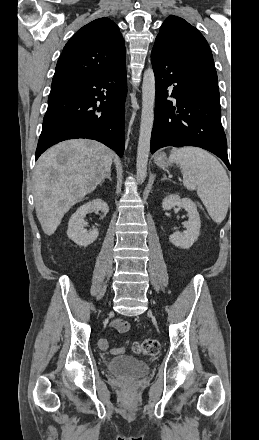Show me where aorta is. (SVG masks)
Returning a JSON list of instances; mask_svg holds the SVG:
<instances>
[{"mask_svg": "<svg viewBox=\"0 0 259 440\" xmlns=\"http://www.w3.org/2000/svg\"><path fill=\"white\" fill-rule=\"evenodd\" d=\"M155 76L152 69H147L142 85V114L140 135L137 149L136 176L141 183L147 176V162L150 152V138L154 121Z\"/></svg>", "mask_w": 259, "mask_h": 440, "instance_id": "1", "label": "aorta"}]
</instances>
